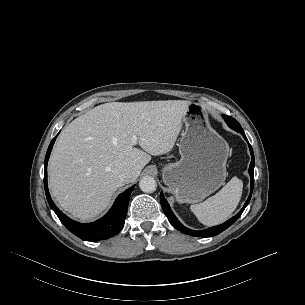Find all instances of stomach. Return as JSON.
I'll return each instance as SVG.
<instances>
[{"label":"stomach","instance_id":"obj_1","mask_svg":"<svg viewBox=\"0 0 305 305\" xmlns=\"http://www.w3.org/2000/svg\"><path fill=\"white\" fill-rule=\"evenodd\" d=\"M183 123L181 159L166 164L162 178L179 203H197L224 184L229 145L210 126L207 113L198 103L188 105Z\"/></svg>","mask_w":305,"mask_h":305}]
</instances>
